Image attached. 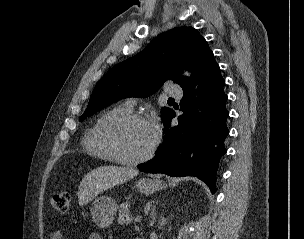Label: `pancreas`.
<instances>
[{"mask_svg": "<svg viewBox=\"0 0 304 239\" xmlns=\"http://www.w3.org/2000/svg\"><path fill=\"white\" fill-rule=\"evenodd\" d=\"M130 204L128 202H124L120 205L119 209V217H118V223L121 225H128L133 219V216L130 212Z\"/></svg>", "mask_w": 304, "mask_h": 239, "instance_id": "cf45deb5", "label": "pancreas"}]
</instances>
